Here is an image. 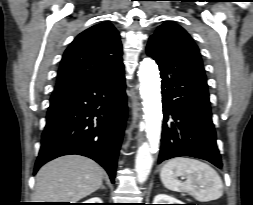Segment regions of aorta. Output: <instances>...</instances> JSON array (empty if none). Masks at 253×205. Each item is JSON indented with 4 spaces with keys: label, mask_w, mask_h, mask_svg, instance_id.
I'll return each mask as SVG.
<instances>
[{
    "label": "aorta",
    "mask_w": 253,
    "mask_h": 205,
    "mask_svg": "<svg viewBox=\"0 0 253 205\" xmlns=\"http://www.w3.org/2000/svg\"><path fill=\"white\" fill-rule=\"evenodd\" d=\"M139 90L143 105L144 123L147 142L139 147L135 160V171L139 183H144L151 171L153 158L152 151L157 149L162 123L161 81L158 66L151 58L140 62Z\"/></svg>",
    "instance_id": "1"
}]
</instances>
